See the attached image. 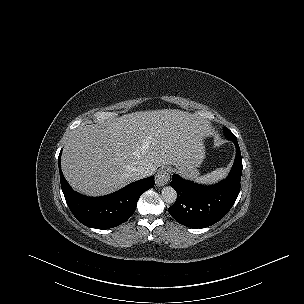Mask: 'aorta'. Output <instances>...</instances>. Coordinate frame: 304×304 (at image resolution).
<instances>
[{
  "label": "aorta",
  "mask_w": 304,
  "mask_h": 304,
  "mask_svg": "<svg viewBox=\"0 0 304 304\" xmlns=\"http://www.w3.org/2000/svg\"><path fill=\"white\" fill-rule=\"evenodd\" d=\"M161 196L164 202L173 204L177 199V192L173 187L166 186L162 189Z\"/></svg>",
  "instance_id": "obj_1"
}]
</instances>
